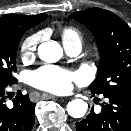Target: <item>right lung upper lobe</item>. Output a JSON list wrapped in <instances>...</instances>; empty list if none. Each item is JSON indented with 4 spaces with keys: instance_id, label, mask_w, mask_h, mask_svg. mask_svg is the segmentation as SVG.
Masks as SVG:
<instances>
[{
    "instance_id": "right-lung-upper-lobe-1",
    "label": "right lung upper lobe",
    "mask_w": 131,
    "mask_h": 131,
    "mask_svg": "<svg viewBox=\"0 0 131 131\" xmlns=\"http://www.w3.org/2000/svg\"><path fill=\"white\" fill-rule=\"evenodd\" d=\"M47 18L46 14L41 15H7L0 18V32L16 33L27 31L31 27L41 23Z\"/></svg>"
}]
</instances>
